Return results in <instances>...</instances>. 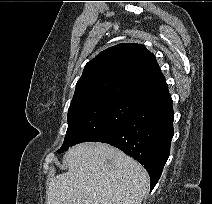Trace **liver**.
Listing matches in <instances>:
<instances>
[{"label":"liver","mask_w":212,"mask_h":204,"mask_svg":"<svg viewBox=\"0 0 212 204\" xmlns=\"http://www.w3.org/2000/svg\"><path fill=\"white\" fill-rule=\"evenodd\" d=\"M63 163L69 170L50 179L47 204H141L149 189L147 171L106 143L78 144Z\"/></svg>","instance_id":"1"}]
</instances>
